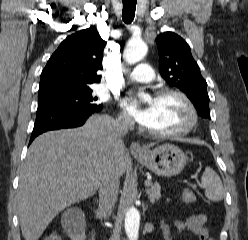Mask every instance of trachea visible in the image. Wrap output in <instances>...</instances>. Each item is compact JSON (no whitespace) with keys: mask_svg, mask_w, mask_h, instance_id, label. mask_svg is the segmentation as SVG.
<instances>
[{"mask_svg":"<svg viewBox=\"0 0 248 240\" xmlns=\"http://www.w3.org/2000/svg\"><path fill=\"white\" fill-rule=\"evenodd\" d=\"M136 0L123 1L122 19L126 24H130L135 16Z\"/></svg>","mask_w":248,"mask_h":240,"instance_id":"trachea-1","label":"trachea"}]
</instances>
